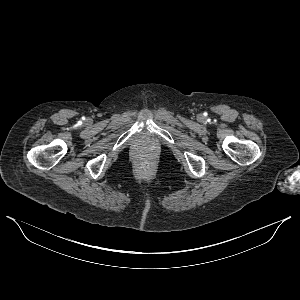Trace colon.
Instances as JSON below:
<instances>
[{"instance_id":"colon-1","label":"colon","mask_w":300,"mask_h":300,"mask_svg":"<svg viewBox=\"0 0 300 300\" xmlns=\"http://www.w3.org/2000/svg\"><path fill=\"white\" fill-rule=\"evenodd\" d=\"M148 165H149L148 163H145V164H144V166H146V167H147Z\"/></svg>"}]
</instances>
